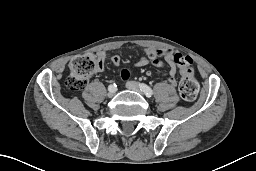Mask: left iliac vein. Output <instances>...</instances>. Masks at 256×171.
<instances>
[{
  "instance_id": "4c4485c4",
  "label": "left iliac vein",
  "mask_w": 256,
  "mask_h": 171,
  "mask_svg": "<svg viewBox=\"0 0 256 171\" xmlns=\"http://www.w3.org/2000/svg\"><path fill=\"white\" fill-rule=\"evenodd\" d=\"M126 88L129 89V90H133V91L139 92V93H143V91H142L141 87L139 86V84L134 82V81H128L126 83Z\"/></svg>"
}]
</instances>
